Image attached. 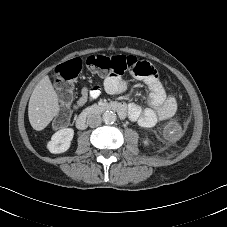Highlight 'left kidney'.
<instances>
[{
	"label": "left kidney",
	"mask_w": 227,
	"mask_h": 227,
	"mask_svg": "<svg viewBox=\"0 0 227 227\" xmlns=\"http://www.w3.org/2000/svg\"><path fill=\"white\" fill-rule=\"evenodd\" d=\"M144 144L145 145H148V140H144Z\"/></svg>",
	"instance_id": "1"
}]
</instances>
